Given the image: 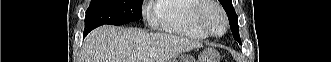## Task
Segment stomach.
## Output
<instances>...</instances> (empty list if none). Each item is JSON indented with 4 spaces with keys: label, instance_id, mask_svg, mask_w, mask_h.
Segmentation results:
<instances>
[{
    "label": "stomach",
    "instance_id": "0dacf381",
    "mask_svg": "<svg viewBox=\"0 0 331 62\" xmlns=\"http://www.w3.org/2000/svg\"><path fill=\"white\" fill-rule=\"evenodd\" d=\"M219 54L213 48H207L203 50L200 58V62H219ZM169 62H195L193 58L188 55H176Z\"/></svg>",
    "mask_w": 331,
    "mask_h": 62
}]
</instances>
